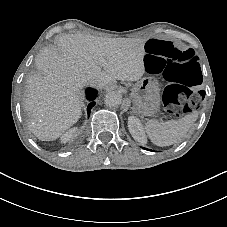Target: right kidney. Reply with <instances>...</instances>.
Masks as SVG:
<instances>
[{"label": "right kidney", "mask_w": 227, "mask_h": 227, "mask_svg": "<svg viewBox=\"0 0 227 227\" xmlns=\"http://www.w3.org/2000/svg\"><path fill=\"white\" fill-rule=\"evenodd\" d=\"M72 137H73V131H69V132H67L66 134L63 135L62 141L67 142V141L71 140Z\"/></svg>", "instance_id": "right-kidney-1"}]
</instances>
